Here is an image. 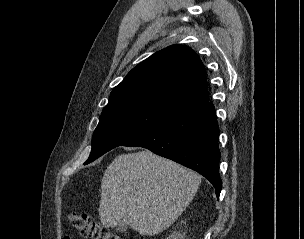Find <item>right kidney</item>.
I'll list each match as a JSON object with an SVG mask.
<instances>
[{"label": "right kidney", "instance_id": "obj_1", "mask_svg": "<svg viewBox=\"0 0 304 239\" xmlns=\"http://www.w3.org/2000/svg\"><path fill=\"white\" fill-rule=\"evenodd\" d=\"M167 239H183V235L179 232H173Z\"/></svg>", "mask_w": 304, "mask_h": 239}]
</instances>
